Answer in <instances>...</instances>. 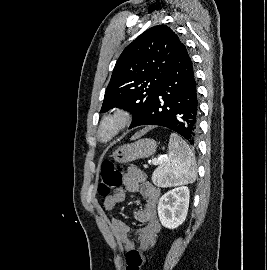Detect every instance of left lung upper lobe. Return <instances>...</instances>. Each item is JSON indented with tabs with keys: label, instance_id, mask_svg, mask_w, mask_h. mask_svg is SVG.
<instances>
[{
	"label": "left lung upper lobe",
	"instance_id": "obj_1",
	"mask_svg": "<svg viewBox=\"0 0 267 270\" xmlns=\"http://www.w3.org/2000/svg\"><path fill=\"white\" fill-rule=\"evenodd\" d=\"M180 45L178 36L166 25L151 27L137 37L116 62L101 112L114 107L128 110L133 128L152 103Z\"/></svg>",
	"mask_w": 267,
	"mask_h": 270
}]
</instances>
